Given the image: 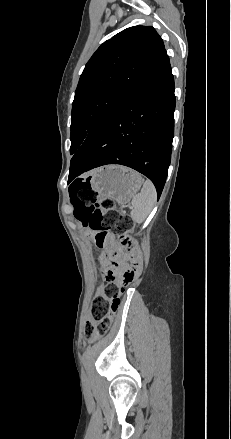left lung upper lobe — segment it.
Wrapping results in <instances>:
<instances>
[{
	"mask_svg": "<svg viewBox=\"0 0 231 439\" xmlns=\"http://www.w3.org/2000/svg\"><path fill=\"white\" fill-rule=\"evenodd\" d=\"M167 57L163 40L151 26L127 28L96 50L75 91L71 154L95 133L124 96Z\"/></svg>",
	"mask_w": 231,
	"mask_h": 439,
	"instance_id": "5c2ea615",
	"label": "left lung upper lobe"
}]
</instances>
